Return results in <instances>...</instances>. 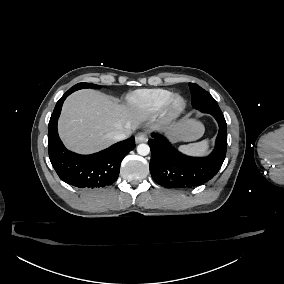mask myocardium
I'll use <instances>...</instances> for the list:
<instances>
[{
	"label": "myocardium",
	"mask_w": 284,
	"mask_h": 284,
	"mask_svg": "<svg viewBox=\"0 0 284 284\" xmlns=\"http://www.w3.org/2000/svg\"><path fill=\"white\" fill-rule=\"evenodd\" d=\"M187 108L186 98L180 94H172L160 111L159 118L163 122H172L180 118Z\"/></svg>",
	"instance_id": "1"
}]
</instances>
